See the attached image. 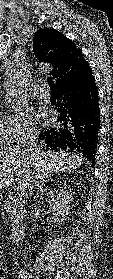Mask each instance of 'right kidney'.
<instances>
[{
    "instance_id": "1",
    "label": "right kidney",
    "mask_w": 113,
    "mask_h": 279,
    "mask_svg": "<svg viewBox=\"0 0 113 279\" xmlns=\"http://www.w3.org/2000/svg\"><path fill=\"white\" fill-rule=\"evenodd\" d=\"M47 201L53 211V219L56 226H60L69 215L72 201V191L67 186L60 187L49 192Z\"/></svg>"
}]
</instances>
